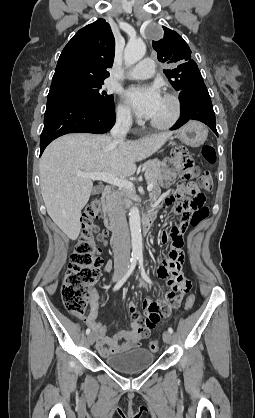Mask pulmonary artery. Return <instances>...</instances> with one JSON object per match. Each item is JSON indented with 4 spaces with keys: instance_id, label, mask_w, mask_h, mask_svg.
<instances>
[{
    "instance_id": "1",
    "label": "pulmonary artery",
    "mask_w": 255,
    "mask_h": 418,
    "mask_svg": "<svg viewBox=\"0 0 255 418\" xmlns=\"http://www.w3.org/2000/svg\"><path fill=\"white\" fill-rule=\"evenodd\" d=\"M155 63L151 58H145L128 71V79H147L154 75Z\"/></svg>"
}]
</instances>
